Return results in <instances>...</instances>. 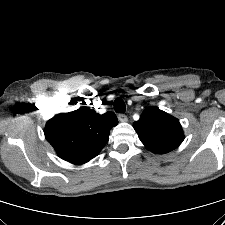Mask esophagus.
<instances>
[{"mask_svg": "<svg viewBox=\"0 0 225 225\" xmlns=\"http://www.w3.org/2000/svg\"><path fill=\"white\" fill-rule=\"evenodd\" d=\"M118 119H119L120 122H127L128 121V118L125 114H119Z\"/></svg>", "mask_w": 225, "mask_h": 225, "instance_id": "34e87169", "label": "esophagus"}]
</instances>
